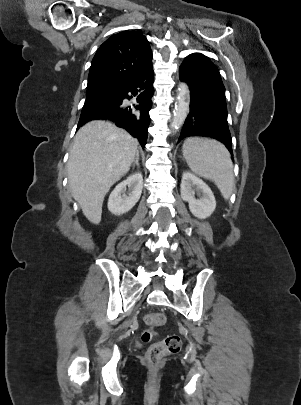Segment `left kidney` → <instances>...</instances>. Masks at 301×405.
<instances>
[{"mask_svg": "<svg viewBox=\"0 0 301 405\" xmlns=\"http://www.w3.org/2000/svg\"><path fill=\"white\" fill-rule=\"evenodd\" d=\"M181 198L188 202L191 213L199 218L209 217L216 208V200L209 186L190 172H185L180 185ZM195 192L199 199L195 198Z\"/></svg>", "mask_w": 301, "mask_h": 405, "instance_id": "5707ae66", "label": "left kidney"}]
</instances>
